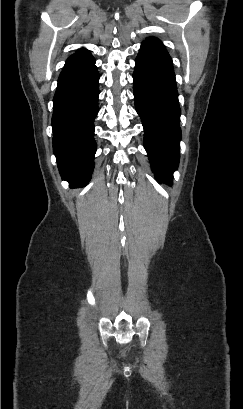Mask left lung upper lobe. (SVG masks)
I'll list each match as a JSON object with an SVG mask.
<instances>
[{
  "label": "left lung upper lobe",
  "mask_w": 243,
  "mask_h": 409,
  "mask_svg": "<svg viewBox=\"0 0 243 409\" xmlns=\"http://www.w3.org/2000/svg\"><path fill=\"white\" fill-rule=\"evenodd\" d=\"M153 39H156V38H148L147 40H153ZM147 40H145V41H147Z\"/></svg>",
  "instance_id": "5c2ea615"
}]
</instances>
